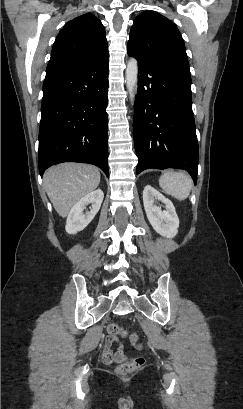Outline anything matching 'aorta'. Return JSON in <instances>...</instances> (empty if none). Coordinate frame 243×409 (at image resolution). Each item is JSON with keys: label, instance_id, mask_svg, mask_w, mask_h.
I'll use <instances>...</instances> for the list:
<instances>
[{"label": "aorta", "instance_id": "762f6f07", "mask_svg": "<svg viewBox=\"0 0 243 409\" xmlns=\"http://www.w3.org/2000/svg\"><path fill=\"white\" fill-rule=\"evenodd\" d=\"M126 86L129 92L131 104H134L138 87V62L135 58H130L126 67Z\"/></svg>", "mask_w": 243, "mask_h": 409}]
</instances>
